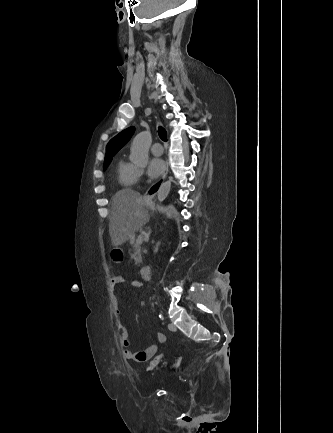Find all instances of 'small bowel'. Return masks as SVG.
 Wrapping results in <instances>:
<instances>
[{
  "mask_svg": "<svg viewBox=\"0 0 333 433\" xmlns=\"http://www.w3.org/2000/svg\"><path fill=\"white\" fill-rule=\"evenodd\" d=\"M127 282V279L119 274H115L111 278V285L114 290V292H117L119 289V286L123 283ZM129 284L133 287H137L140 285L139 280H132L129 282ZM114 311L116 315L121 314V309L118 303V300H116V303L114 305ZM119 333H120V344L124 348L123 355L127 360L134 361V362H146L151 360L157 353L159 346L161 344H164L167 340L166 335L163 333H157L155 342L150 344L147 348H145L142 351H134L131 347V340L129 337L128 330L125 326L122 324L119 326Z\"/></svg>",
  "mask_w": 333,
  "mask_h": 433,
  "instance_id": "c3829d8e",
  "label": "small bowel"
}]
</instances>
